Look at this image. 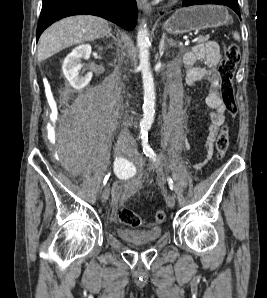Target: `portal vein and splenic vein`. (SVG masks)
I'll list each match as a JSON object with an SVG mask.
<instances>
[{
	"mask_svg": "<svg viewBox=\"0 0 267 298\" xmlns=\"http://www.w3.org/2000/svg\"><path fill=\"white\" fill-rule=\"evenodd\" d=\"M196 41H198V38H195V39L192 40V42H196Z\"/></svg>",
	"mask_w": 267,
	"mask_h": 298,
	"instance_id": "portal-vein-and-splenic-vein-1",
	"label": "portal vein and splenic vein"
}]
</instances>
